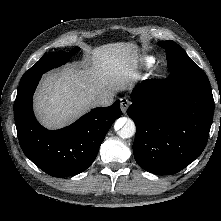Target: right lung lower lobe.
Here are the masks:
<instances>
[{"label": "right lung lower lobe", "mask_w": 221, "mask_h": 221, "mask_svg": "<svg viewBox=\"0 0 221 221\" xmlns=\"http://www.w3.org/2000/svg\"><path fill=\"white\" fill-rule=\"evenodd\" d=\"M42 75L20 82L14 117L24 154L54 177H67L86 170L94 161L108 130L122 114L120 101L91 110L59 130H47L36 120L32 98Z\"/></svg>", "instance_id": "1"}]
</instances>
